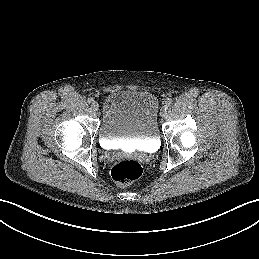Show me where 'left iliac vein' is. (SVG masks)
<instances>
[{"label": "left iliac vein", "mask_w": 259, "mask_h": 259, "mask_svg": "<svg viewBox=\"0 0 259 259\" xmlns=\"http://www.w3.org/2000/svg\"><path fill=\"white\" fill-rule=\"evenodd\" d=\"M167 112H168V108H167L166 106H164V107L161 109V111H160V115H161L162 117H166Z\"/></svg>", "instance_id": "4c4485c4"}]
</instances>
